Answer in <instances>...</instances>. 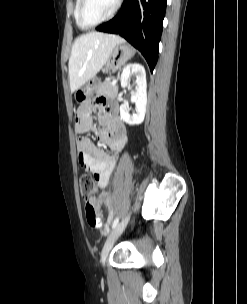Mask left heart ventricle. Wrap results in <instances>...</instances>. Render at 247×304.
I'll use <instances>...</instances> for the list:
<instances>
[{"mask_svg": "<svg viewBox=\"0 0 247 304\" xmlns=\"http://www.w3.org/2000/svg\"><path fill=\"white\" fill-rule=\"evenodd\" d=\"M117 0H87L83 16L87 24H94L107 17L115 8Z\"/></svg>", "mask_w": 247, "mask_h": 304, "instance_id": "left-heart-ventricle-1", "label": "left heart ventricle"}]
</instances>
